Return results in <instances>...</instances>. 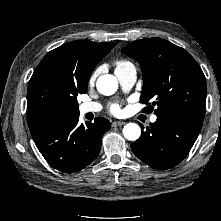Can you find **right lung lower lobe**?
<instances>
[{
    "instance_id": "98d812e1",
    "label": "right lung lower lobe",
    "mask_w": 221,
    "mask_h": 221,
    "mask_svg": "<svg viewBox=\"0 0 221 221\" xmlns=\"http://www.w3.org/2000/svg\"><path fill=\"white\" fill-rule=\"evenodd\" d=\"M79 113L60 114L29 127L33 140L45 160L55 169L72 173L94 161L110 122L96 117L94 123L79 125Z\"/></svg>"
}]
</instances>
